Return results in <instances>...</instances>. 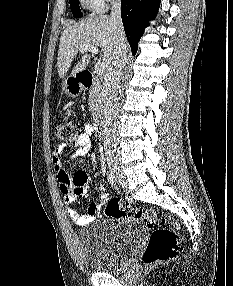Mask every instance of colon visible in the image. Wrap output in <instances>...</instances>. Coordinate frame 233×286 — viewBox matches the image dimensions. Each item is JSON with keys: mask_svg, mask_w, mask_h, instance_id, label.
I'll return each mask as SVG.
<instances>
[{"mask_svg": "<svg viewBox=\"0 0 233 286\" xmlns=\"http://www.w3.org/2000/svg\"><path fill=\"white\" fill-rule=\"evenodd\" d=\"M80 121L77 118L62 120L55 126V136L64 143H72L79 136ZM104 214L111 218H133L141 220L147 227L153 229L149 242L142 256L147 267L167 263L176 258L183 248V239L178 233V222L159 217L151 209H141L138 206L111 198L104 206Z\"/></svg>", "mask_w": 233, "mask_h": 286, "instance_id": "1", "label": "colon"}]
</instances>
